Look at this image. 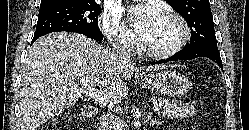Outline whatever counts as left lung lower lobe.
I'll return each instance as SVG.
<instances>
[{
  "label": "left lung lower lobe",
  "instance_id": "obj_1",
  "mask_svg": "<svg viewBox=\"0 0 249 130\" xmlns=\"http://www.w3.org/2000/svg\"><path fill=\"white\" fill-rule=\"evenodd\" d=\"M198 57H207L217 63L220 68L223 70L222 67V60L220 58L219 52H213V51H207V50H181L177 53H175L171 58L164 60V61H158V62H151V65L165 63L168 61H177V60H191Z\"/></svg>",
  "mask_w": 249,
  "mask_h": 130
}]
</instances>
